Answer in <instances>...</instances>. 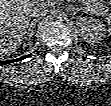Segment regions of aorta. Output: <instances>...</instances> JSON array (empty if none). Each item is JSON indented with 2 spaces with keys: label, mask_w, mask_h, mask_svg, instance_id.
Masks as SVG:
<instances>
[{
  "label": "aorta",
  "mask_w": 111,
  "mask_h": 106,
  "mask_svg": "<svg viewBox=\"0 0 111 106\" xmlns=\"http://www.w3.org/2000/svg\"><path fill=\"white\" fill-rule=\"evenodd\" d=\"M66 13L64 12V11H59L58 12V19H60V20H64V19H66Z\"/></svg>",
  "instance_id": "obj_1"
}]
</instances>
